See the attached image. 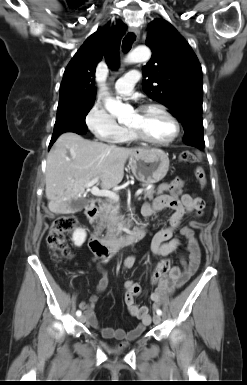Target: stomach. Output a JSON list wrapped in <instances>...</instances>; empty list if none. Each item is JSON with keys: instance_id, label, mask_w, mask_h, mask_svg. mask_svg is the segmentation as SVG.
<instances>
[{"instance_id": "stomach-1", "label": "stomach", "mask_w": 247, "mask_h": 385, "mask_svg": "<svg viewBox=\"0 0 247 385\" xmlns=\"http://www.w3.org/2000/svg\"><path fill=\"white\" fill-rule=\"evenodd\" d=\"M130 169L144 185L161 181L169 170L168 154L157 148L135 150L129 159Z\"/></svg>"}]
</instances>
